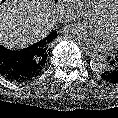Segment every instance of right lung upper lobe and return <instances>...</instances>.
<instances>
[{"label":"right lung upper lobe","instance_id":"cb5924a9","mask_svg":"<svg viewBox=\"0 0 118 118\" xmlns=\"http://www.w3.org/2000/svg\"><path fill=\"white\" fill-rule=\"evenodd\" d=\"M57 37L55 32H51L47 38L30 46L36 56V69L42 71L46 63L50 43Z\"/></svg>","mask_w":118,"mask_h":118}]
</instances>
